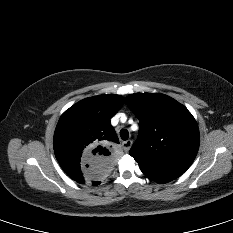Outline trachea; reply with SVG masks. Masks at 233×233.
I'll return each mask as SVG.
<instances>
[{
    "label": "trachea",
    "mask_w": 233,
    "mask_h": 233,
    "mask_svg": "<svg viewBox=\"0 0 233 233\" xmlns=\"http://www.w3.org/2000/svg\"><path fill=\"white\" fill-rule=\"evenodd\" d=\"M120 136H121L122 140H127L128 137H129V133H128L127 130L122 129V130L120 131Z\"/></svg>",
    "instance_id": "3493384b"
}]
</instances>
